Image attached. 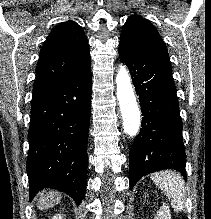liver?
Here are the masks:
<instances>
[{"label":"liver","instance_id":"6515ba94","mask_svg":"<svg viewBox=\"0 0 211 219\" xmlns=\"http://www.w3.org/2000/svg\"><path fill=\"white\" fill-rule=\"evenodd\" d=\"M61 200V193L55 190L43 191L40 193L38 208L46 210L58 204Z\"/></svg>","mask_w":211,"mask_h":219}]
</instances>
